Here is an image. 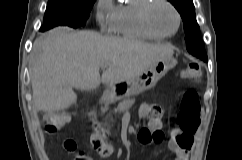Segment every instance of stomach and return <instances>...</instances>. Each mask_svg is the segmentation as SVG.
<instances>
[{
    "label": "stomach",
    "mask_w": 242,
    "mask_h": 160,
    "mask_svg": "<svg viewBox=\"0 0 242 160\" xmlns=\"http://www.w3.org/2000/svg\"><path fill=\"white\" fill-rule=\"evenodd\" d=\"M176 64L177 60L172 57L158 60L135 78L116 83L113 85V88L122 96L137 95L153 88Z\"/></svg>",
    "instance_id": "0dacf381"
}]
</instances>
